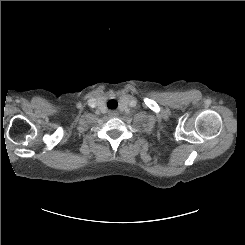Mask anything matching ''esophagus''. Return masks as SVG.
<instances>
[{
	"label": "esophagus",
	"instance_id": "esophagus-1",
	"mask_svg": "<svg viewBox=\"0 0 245 245\" xmlns=\"http://www.w3.org/2000/svg\"><path fill=\"white\" fill-rule=\"evenodd\" d=\"M111 114H112V116H116L117 115L115 111H112Z\"/></svg>",
	"mask_w": 245,
	"mask_h": 245
}]
</instances>
